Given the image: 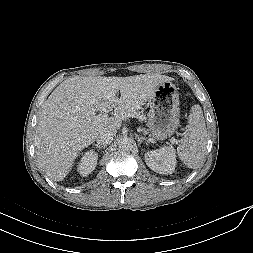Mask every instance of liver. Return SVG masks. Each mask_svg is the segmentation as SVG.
I'll return each mask as SVG.
<instances>
[{"label":"liver","mask_w":253,"mask_h":253,"mask_svg":"<svg viewBox=\"0 0 253 253\" xmlns=\"http://www.w3.org/2000/svg\"><path fill=\"white\" fill-rule=\"evenodd\" d=\"M172 80L160 74L64 80L48 97L38 121L35 146L39 166L52 180H63L78 153L95 141L100 129L117 131L122 120L137 115L159 85ZM96 111H114V117L96 120Z\"/></svg>","instance_id":"obj_1"}]
</instances>
